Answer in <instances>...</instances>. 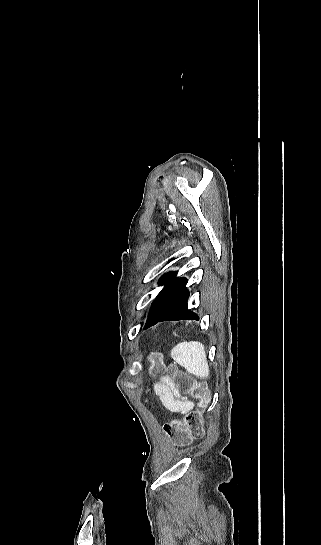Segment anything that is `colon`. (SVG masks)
Returning <instances> with one entry per match:
<instances>
[{"mask_svg": "<svg viewBox=\"0 0 321 545\" xmlns=\"http://www.w3.org/2000/svg\"><path fill=\"white\" fill-rule=\"evenodd\" d=\"M162 369L161 366L156 365L152 371L154 374H158ZM169 370L173 375V390L176 393L189 394L198 400L197 410L189 411L183 418L172 420L164 425L163 429L171 441L182 445L204 435L200 414L208 406L210 396L205 385L194 382L174 367H170Z\"/></svg>", "mask_w": 321, "mask_h": 545, "instance_id": "5ec220e1", "label": "colon"}]
</instances>
